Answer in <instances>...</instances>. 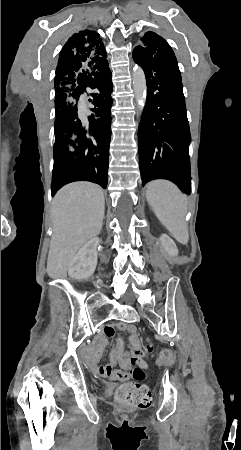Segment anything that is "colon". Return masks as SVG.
Instances as JSON below:
<instances>
[{"mask_svg": "<svg viewBox=\"0 0 241 450\" xmlns=\"http://www.w3.org/2000/svg\"><path fill=\"white\" fill-rule=\"evenodd\" d=\"M144 349L147 354H151L153 351V344L148 343ZM171 352V347H164L163 352L160 354L161 358L159 359V363L167 362ZM127 373L137 381L143 380L147 376V370L139 366L128 369ZM114 399L117 405H122L124 408L130 410L149 409L152 404L151 391L146 386L140 384L127 383L119 386L115 390Z\"/></svg>", "mask_w": 241, "mask_h": 450, "instance_id": "obj_1", "label": "colon"}]
</instances>
